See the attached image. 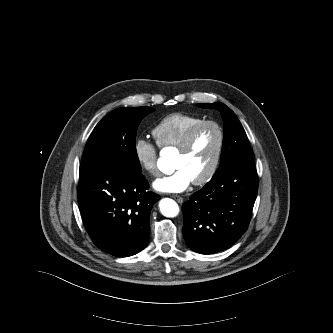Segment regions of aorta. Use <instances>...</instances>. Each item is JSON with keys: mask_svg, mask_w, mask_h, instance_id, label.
I'll list each match as a JSON object with an SVG mask.
<instances>
[{"mask_svg": "<svg viewBox=\"0 0 333 333\" xmlns=\"http://www.w3.org/2000/svg\"><path fill=\"white\" fill-rule=\"evenodd\" d=\"M158 168L166 174L173 171L174 165L168 153V149L160 152V158L157 161ZM160 212L165 217H176L179 213L178 204L170 198H164L159 203Z\"/></svg>", "mask_w": 333, "mask_h": 333, "instance_id": "obj_1", "label": "aorta"}]
</instances>
